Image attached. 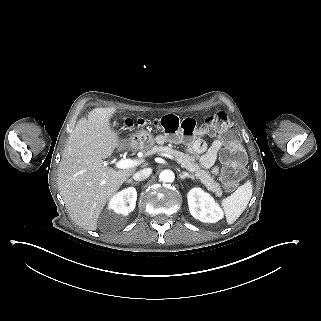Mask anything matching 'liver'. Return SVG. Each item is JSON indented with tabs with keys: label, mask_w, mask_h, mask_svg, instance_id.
Here are the masks:
<instances>
[{
	"label": "liver",
	"mask_w": 321,
	"mask_h": 321,
	"mask_svg": "<svg viewBox=\"0 0 321 321\" xmlns=\"http://www.w3.org/2000/svg\"><path fill=\"white\" fill-rule=\"evenodd\" d=\"M118 108L92 109L77 122L67 140L58 170V189L72 220L96 231L98 219L108 201L136 168L114 171L104 165L115 149L127 147L111 119Z\"/></svg>",
	"instance_id": "1"
}]
</instances>
